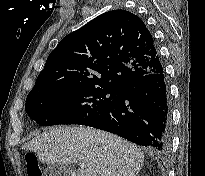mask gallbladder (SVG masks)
<instances>
[{
    "instance_id": "bac80fb5",
    "label": "gallbladder",
    "mask_w": 205,
    "mask_h": 176,
    "mask_svg": "<svg viewBox=\"0 0 205 176\" xmlns=\"http://www.w3.org/2000/svg\"><path fill=\"white\" fill-rule=\"evenodd\" d=\"M45 176H72V169L66 164H48L44 169Z\"/></svg>"
}]
</instances>
